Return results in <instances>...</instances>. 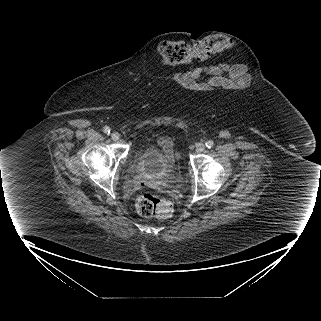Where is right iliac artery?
Returning a JSON list of instances; mask_svg holds the SVG:
<instances>
[{
    "label": "right iliac artery",
    "mask_w": 321,
    "mask_h": 321,
    "mask_svg": "<svg viewBox=\"0 0 321 321\" xmlns=\"http://www.w3.org/2000/svg\"><path fill=\"white\" fill-rule=\"evenodd\" d=\"M103 131H104V133L109 134L110 133V128L109 127H104Z\"/></svg>",
    "instance_id": "obj_1"
}]
</instances>
